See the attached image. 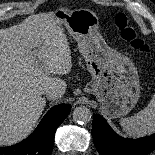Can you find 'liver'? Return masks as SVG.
Instances as JSON below:
<instances>
[{"label":"liver","mask_w":155,"mask_h":155,"mask_svg":"<svg viewBox=\"0 0 155 155\" xmlns=\"http://www.w3.org/2000/svg\"><path fill=\"white\" fill-rule=\"evenodd\" d=\"M61 25L49 12L0 30V145L18 142L33 130L46 105V88L57 87L64 94L66 83L49 77L72 68Z\"/></svg>","instance_id":"6515ba94"}]
</instances>
